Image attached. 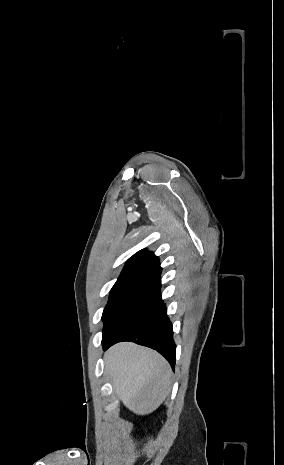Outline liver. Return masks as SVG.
Listing matches in <instances>:
<instances>
[{
	"mask_svg": "<svg viewBox=\"0 0 284 465\" xmlns=\"http://www.w3.org/2000/svg\"><path fill=\"white\" fill-rule=\"evenodd\" d=\"M118 399L136 415H149L170 393L171 369L156 351L118 343L104 355Z\"/></svg>",
	"mask_w": 284,
	"mask_h": 465,
	"instance_id": "6515ba94",
	"label": "liver"
}]
</instances>
